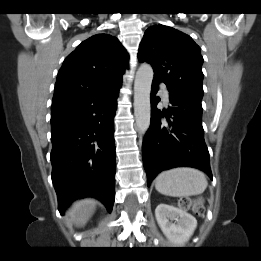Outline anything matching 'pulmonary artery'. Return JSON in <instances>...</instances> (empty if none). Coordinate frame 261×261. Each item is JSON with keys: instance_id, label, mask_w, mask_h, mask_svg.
I'll list each match as a JSON object with an SVG mask.
<instances>
[{"instance_id": "pulmonary-artery-1", "label": "pulmonary artery", "mask_w": 261, "mask_h": 261, "mask_svg": "<svg viewBox=\"0 0 261 261\" xmlns=\"http://www.w3.org/2000/svg\"><path fill=\"white\" fill-rule=\"evenodd\" d=\"M160 90H161L162 97H163L164 101H168L169 100V94H168L166 87L164 85H160Z\"/></svg>"}]
</instances>
